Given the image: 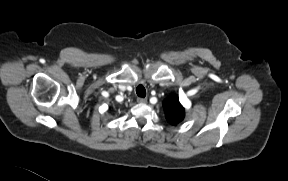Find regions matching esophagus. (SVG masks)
Masks as SVG:
<instances>
[{
  "label": "esophagus",
  "mask_w": 288,
  "mask_h": 181,
  "mask_svg": "<svg viewBox=\"0 0 288 181\" xmlns=\"http://www.w3.org/2000/svg\"><path fill=\"white\" fill-rule=\"evenodd\" d=\"M137 102H138V103H146V102H147V99H146V98H142V97H138V98H137Z\"/></svg>",
  "instance_id": "obj_1"
}]
</instances>
